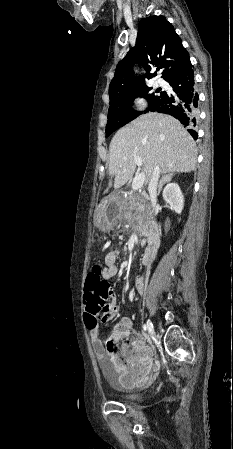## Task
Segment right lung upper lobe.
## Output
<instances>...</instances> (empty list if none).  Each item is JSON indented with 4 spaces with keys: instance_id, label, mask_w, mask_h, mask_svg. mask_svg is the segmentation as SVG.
I'll return each mask as SVG.
<instances>
[{
    "instance_id": "right-lung-upper-lobe-1",
    "label": "right lung upper lobe",
    "mask_w": 233,
    "mask_h": 449,
    "mask_svg": "<svg viewBox=\"0 0 233 449\" xmlns=\"http://www.w3.org/2000/svg\"><path fill=\"white\" fill-rule=\"evenodd\" d=\"M135 62L145 68L146 79L155 76V73H150L153 66L164 67L163 78L167 80L185 69L190 59L172 24L165 17L154 15L139 23L136 47L117 65L109 86L110 98L146 86L144 77L132 75L131 69Z\"/></svg>"
}]
</instances>
